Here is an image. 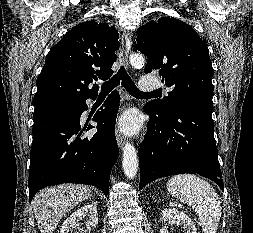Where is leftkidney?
Listing matches in <instances>:
<instances>
[{
	"instance_id": "5707ae66",
	"label": "left kidney",
	"mask_w": 253,
	"mask_h": 233,
	"mask_svg": "<svg viewBox=\"0 0 253 233\" xmlns=\"http://www.w3.org/2000/svg\"><path fill=\"white\" fill-rule=\"evenodd\" d=\"M163 222H167L170 220H176L178 224H181L184 226V229H186V233H197L196 227L192 220L187 216L184 212L179 211L175 208H169L162 210V217Z\"/></svg>"
}]
</instances>
